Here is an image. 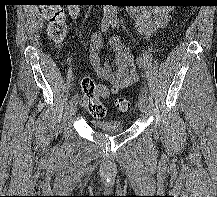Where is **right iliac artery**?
Listing matches in <instances>:
<instances>
[{
	"label": "right iliac artery",
	"mask_w": 217,
	"mask_h": 197,
	"mask_svg": "<svg viewBox=\"0 0 217 197\" xmlns=\"http://www.w3.org/2000/svg\"><path fill=\"white\" fill-rule=\"evenodd\" d=\"M109 23H110V22H108V21H103V22H102L101 27H102V31H103V32H105V31L107 30V28H108V26H109ZM77 100H78L77 94L73 95L72 100H71V104L74 103V102H76Z\"/></svg>",
	"instance_id": "82829eb1"
}]
</instances>
